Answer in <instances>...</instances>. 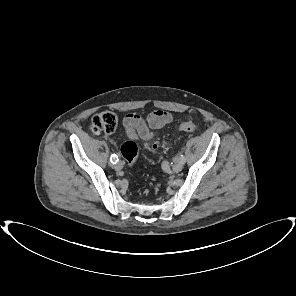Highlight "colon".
<instances>
[{
	"label": "colon",
	"instance_id": "obj_1",
	"mask_svg": "<svg viewBox=\"0 0 296 296\" xmlns=\"http://www.w3.org/2000/svg\"><path fill=\"white\" fill-rule=\"evenodd\" d=\"M117 127V118L114 113L103 112L92 117L90 129L94 134L107 133L115 131ZM198 125L193 121L182 122L177 125V129L184 132H194ZM121 155L130 164L133 165L138 156V147L134 141H126L121 147Z\"/></svg>",
	"mask_w": 296,
	"mask_h": 296
}]
</instances>
